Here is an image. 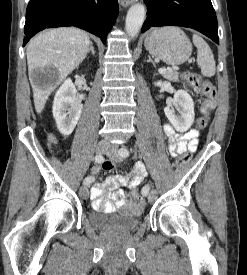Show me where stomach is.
Wrapping results in <instances>:
<instances>
[{"instance_id": "stomach-1", "label": "stomach", "mask_w": 247, "mask_h": 275, "mask_svg": "<svg viewBox=\"0 0 247 275\" xmlns=\"http://www.w3.org/2000/svg\"><path fill=\"white\" fill-rule=\"evenodd\" d=\"M149 53L168 65L184 63L192 52V44L178 27H163L152 31L145 39Z\"/></svg>"}]
</instances>
